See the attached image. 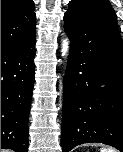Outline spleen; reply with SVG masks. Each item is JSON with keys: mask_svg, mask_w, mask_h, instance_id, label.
<instances>
[{"mask_svg": "<svg viewBox=\"0 0 123 152\" xmlns=\"http://www.w3.org/2000/svg\"><path fill=\"white\" fill-rule=\"evenodd\" d=\"M100 152H116L113 149H101Z\"/></svg>", "mask_w": 123, "mask_h": 152, "instance_id": "3e777b00", "label": "spleen"}]
</instances>
